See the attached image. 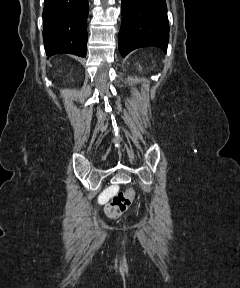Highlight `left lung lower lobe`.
Here are the masks:
<instances>
[{
	"label": "left lung lower lobe",
	"instance_id": "0a47b994",
	"mask_svg": "<svg viewBox=\"0 0 240 288\" xmlns=\"http://www.w3.org/2000/svg\"><path fill=\"white\" fill-rule=\"evenodd\" d=\"M118 48L123 56L136 48L167 49L169 26L165 0H121Z\"/></svg>",
	"mask_w": 240,
	"mask_h": 288
}]
</instances>
